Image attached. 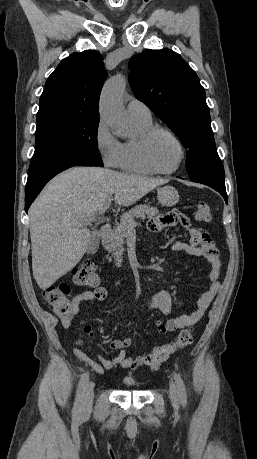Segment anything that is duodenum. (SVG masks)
<instances>
[{
	"label": "duodenum",
	"instance_id": "1",
	"mask_svg": "<svg viewBox=\"0 0 257 459\" xmlns=\"http://www.w3.org/2000/svg\"><path fill=\"white\" fill-rule=\"evenodd\" d=\"M111 224H106L104 226L101 227L100 231H99V234L101 237H106L109 235L110 231H111Z\"/></svg>",
	"mask_w": 257,
	"mask_h": 459
}]
</instances>
